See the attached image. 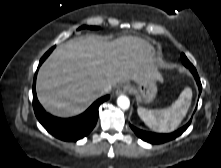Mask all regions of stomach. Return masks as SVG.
<instances>
[{
	"label": "stomach",
	"instance_id": "0dacf381",
	"mask_svg": "<svg viewBox=\"0 0 221 168\" xmlns=\"http://www.w3.org/2000/svg\"><path fill=\"white\" fill-rule=\"evenodd\" d=\"M160 79V75H155L152 78L139 83L134 88V93L139 100L143 99L146 102L152 101L157 94V81Z\"/></svg>",
	"mask_w": 221,
	"mask_h": 168
}]
</instances>
